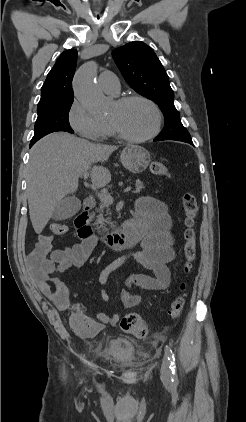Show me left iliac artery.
I'll list each match as a JSON object with an SVG mask.
<instances>
[{
	"label": "left iliac artery",
	"instance_id": "44dca946",
	"mask_svg": "<svg viewBox=\"0 0 246 422\" xmlns=\"http://www.w3.org/2000/svg\"><path fill=\"white\" fill-rule=\"evenodd\" d=\"M165 353L168 356V359L170 361V369L172 371V382H177L178 377H177L175 354L169 346H166Z\"/></svg>",
	"mask_w": 246,
	"mask_h": 422
}]
</instances>
